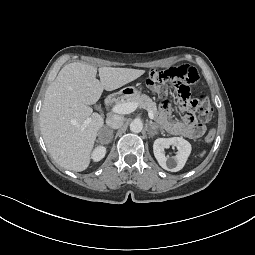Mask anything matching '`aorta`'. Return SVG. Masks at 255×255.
I'll list each match as a JSON object with an SVG mask.
<instances>
[{"label":"aorta","instance_id":"1","mask_svg":"<svg viewBox=\"0 0 255 255\" xmlns=\"http://www.w3.org/2000/svg\"><path fill=\"white\" fill-rule=\"evenodd\" d=\"M143 129V124L140 120L135 119L130 123V130L134 133H139Z\"/></svg>","mask_w":255,"mask_h":255}]
</instances>
